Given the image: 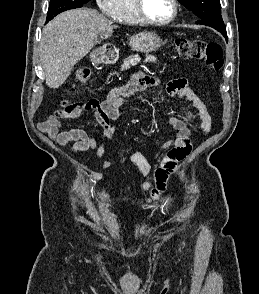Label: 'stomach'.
I'll use <instances>...</instances> for the list:
<instances>
[{
	"label": "stomach",
	"mask_w": 259,
	"mask_h": 294,
	"mask_svg": "<svg viewBox=\"0 0 259 294\" xmlns=\"http://www.w3.org/2000/svg\"><path fill=\"white\" fill-rule=\"evenodd\" d=\"M129 45L137 52L149 53L159 49L163 45V41L155 33L142 32L130 37Z\"/></svg>",
	"instance_id": "obj_1"
}]
</instances>
